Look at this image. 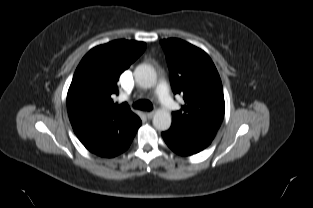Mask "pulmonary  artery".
I'll use <instances>...</instances> for the list:
<instances>
[{
  "instance_id": "1",
  "label": "pulmonary artery",
  "mask_w": 313,
  "mask_h": 208,
  "mask_svg": "<svg viewBox=\"0 0 313 208\" xmlns=\"http://www.w3.org/2000/svg\"><path fill=\"white\" fill-rule=\"evenodd\" d=\"M156 93L161 105L166 110H172L176 107L174 101L170 97L168 85L166 82L161 81L158 83L156 87Z\"/></svg>"
}]
</instances>
